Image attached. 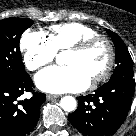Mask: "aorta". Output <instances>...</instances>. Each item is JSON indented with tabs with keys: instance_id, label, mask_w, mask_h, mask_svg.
I'll use <instances>...</instances> for the list:
<instances>
[{
	"instance_id": "762f6f07",
	"label": "aorta",
	"mask_w": 136,
	"mask_h": 136,
	"mask_svg": "<svg viewBox=\"0 0 136 136\" xmlns=\"http://www.w3.org/2000/svg\"><path fill=\"white\" fill-rule=\"evenodd\" d=\"M56 62L59 65L64 64V55L63 53L57 54L56 56ZM60 106L64 111L71 112L76 108V100L72 96H65L60 101Z\"/></svg>"
}]
</instances>
